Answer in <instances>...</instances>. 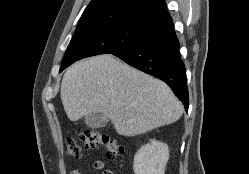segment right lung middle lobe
I'll return each mask as SVG.
<instances>
[{
  "mask_svg": "<svg viewBox=\"0 0 249 174\" xmlns=\"http://www.w3.org/2000/svg\"><path fill=\"white\" fill-rule=\"evenodd\" d=\"M147 26L139 22H120L76 31L69 43L59 72L82 58L113 54L131 47L143 37Z\"/></svg>",
  "mask_w": 249,
  "mask_h": 174,
  "instance_id": "right-lung-middle-lobe-1",
  "label": "right lung middle lobe"
}]
</instances>
